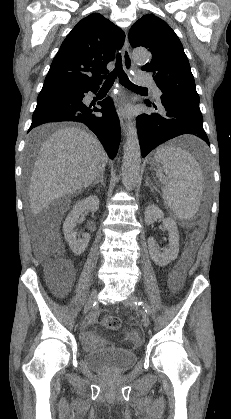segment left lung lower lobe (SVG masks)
Returning <instances> with one entry per match:
<instances>
[{"label":"left lung lower lobe","mask_w":231,"mask_h":419,"mask_svg":"<svg viewBox=\"0 0 231 419\" xmlns=\"http://www.w3.org/2000/svg\"><path fill=\"white\" fill-rule=\"evenodd\" d=\"M157 109L155 104L145 101ZM162 113L141 114L137 117L138 137L142 156L145 157L155 147L183 134H193L209 140L203 129V117L199 100L191 98H161Z\"/></svg>","instance_id":"left-lung-lower-lobe-1"}]
</instances>
